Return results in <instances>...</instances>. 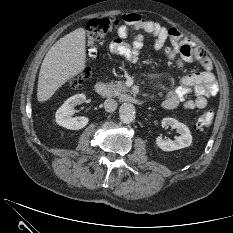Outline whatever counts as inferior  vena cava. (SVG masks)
Returning a JSON list of instances; mask_svg holds the SVG:
<instances>
[{
	"instance_id": "602c4592",
	"label": "inferior vena cava",
	"mask_w": 233,
	"mask_h": 233,
	"mask_svg": "<svg viewBox=\"0 0 233 233\" xmlns=\"http://www.w3.org/2000/svg\"><path fill=\"white\" fill-rule=\"evenodd\" d=\"M117 102L114 99L108 98L104 102V108L107 112H114L117 109Z\"/></svg>"
}]
</instances>
